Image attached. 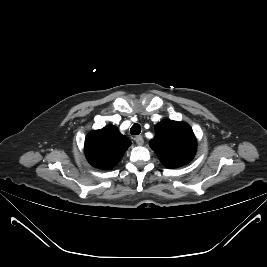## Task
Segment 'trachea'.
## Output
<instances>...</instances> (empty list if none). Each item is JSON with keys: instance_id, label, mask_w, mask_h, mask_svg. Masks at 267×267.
<instances>
[{"instance_id": "1", "label": "trachea", "mask_w": 267, "mask_h": 267, "mask_svg": "<svg viewBox=\"0 0 267 267\" xmlns=\"http://www.w3.org/2000/svg\"><path fill=\"white\" fill-rule=\"evenodd\" d=\"M131 135H138L141 133V126L139 124H134L130 129Z\"/></svg>"}]
</instances>
